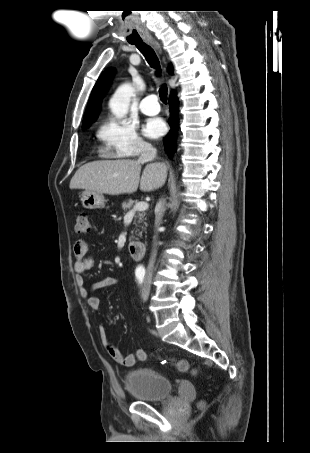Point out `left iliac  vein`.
Masks as SVG:
<instances>
[{
	"label": "left iliac vein",
	"mask_w": 310,
	"mask_h": 453,
	"mask_svg": "<svg viewBox=\"0 0 310 453\" xmlns=\"http://www.w3.org/2000/svg\"><path fill=\"white\" fill-rule=\"evenodd\" d=\"M149 292H150V288H149V285H148V282H146L144 284V287L142 289V299L145 301L147 300L148 296H149Z\"/></svg>",
	"instance_id": "obj_1"
}]
</instances>
